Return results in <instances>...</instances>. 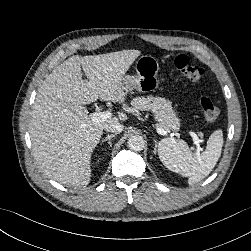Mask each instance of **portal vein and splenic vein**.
<instances>
[{
    "mask_svg": "<svg viewBox=\"0 0 251 251\" xmlns=\"http://www.w3.org/2000/svg\"><path fill=\"white\" fill-rule=\"evenodd\" d=\"M111 117H112V113L110 111H96V112H94L92 114L91 120L93 122L105 121V120H107V119H109ZM156 130L160 135H163V136L167 135V131L160 128L158 125L156 126ZM189 135L193 139V144L196 147L197 152L199 153L200 151H202V148L200 146L201 140L199 139L197 134L195 132H193V131H189Z\"/></svg>",
    "mask_w": 251,
    "mask_h": 251,
    "instance_id": "1",
    "label": "portal vein and splenic vein"
}]
</instances>
